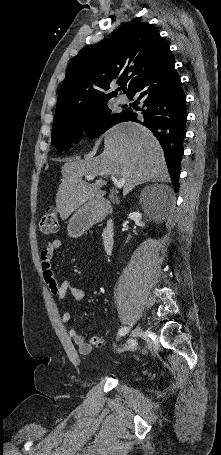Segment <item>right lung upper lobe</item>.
I'll use <instances>...</instances> for the list:
<instances>
[{"label":"right lung upper lobe","mask_w":221,"mask_h":455,"mask_svg":"<svg viewBox=\"0 0 221 455\" xmlns=\"http://www.w3.org/2000/svg\"><path fill=\"white\" fill-rule=\"evenodd\" d=\"M169 49L150 24L133 21L110 38L84 47L70 62L58 95L54 123L117 95L106 94L117 81L129 96L134 86Z\"/></svg>","instance_id":"cb5924a9"}]
</instances>
